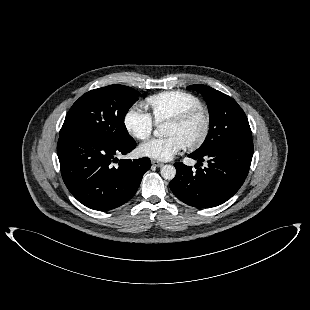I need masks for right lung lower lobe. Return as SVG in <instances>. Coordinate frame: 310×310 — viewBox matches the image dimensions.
<instances>
[{"label": "right lung lower lobe", "instance_id": "1", "mask_svg": "<svg viewBox=\"0 0 310 310\" xmlns=\"http://www.w3.org/2000/svg\"><path fill=\"white\" fill-rule=\"evenodd\" d=\"M136 147L132 138L114 143L89 136L60 137L57 153L64 183L83 205L99 211L121 206L136 193L144 173L149 170V158L120 160Z\"/></svg>", "mask_w": 310, "mask_h": 310}]
</instances>
